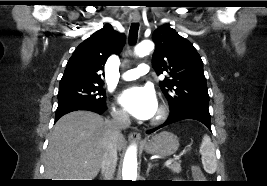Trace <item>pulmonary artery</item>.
Instances as JSON below:
<instances>
[{"mask_svg": "<svg viewBox=\"0 0 267 186\" xmlns=\"http://www.w3.org/2000/svg\"><path fill=\"white\" fill-rule=\"evenodd\" d=\"M150 67L148 64H139L137 68L130 69L122 74L124 80H135L141 75H145L149 72Z\"/></svg>", "mask_w": 267, "mask_h": 186, "instance_id": "pulmonary-artery-1", "label": "pulmonary artery"}]
</instances>
